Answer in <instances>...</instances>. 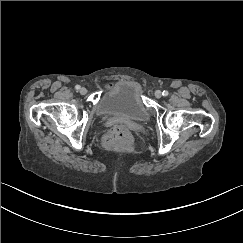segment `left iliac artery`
<instances>
[{"mask_svg": "<svg viewBox=\"0 0 243 243\" xmlns=\"http://www.w3.org/2000/svg\"><path fill=\"white\" fill-rule=\"evenodd\" d=\"M163 96H167L168 95V91L164 90L162 93Z\"/></svg>", "mask_w": 243, "mask_h": 243, "instance_id": "44dca946", "label": "left iliac artery"}]
</instances>
